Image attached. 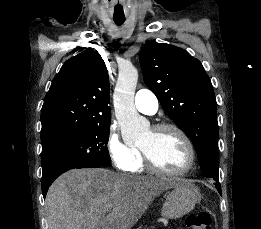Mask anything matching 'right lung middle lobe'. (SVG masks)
Wrapping results in <instances>:
<instances>
[{"instance_id": "obj_1", "label": "right lung middle lobe", "mask_w": 261, "mask_h": 229, "mask_svg": "<svg viewBox=\"0 0 261 229\" xmlns=\"http://www.w3.org/2000/svg\"><path fill=\"white\" fill-rule=\"evenodd\" d=\"M110 123L89 127L80 135L42 149V175L61 169L110 166L107 149Z\"/></svg>"}]
</instances>
